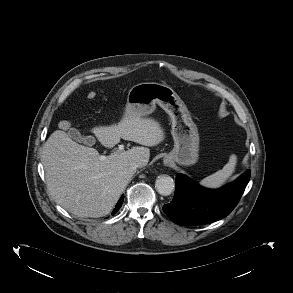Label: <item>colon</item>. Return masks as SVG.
<instances>
[{
	"instance_id": "5ec220e1",
	"label": "colon",
	"mask_w": 293,
	"mask_h": 293,
	"mask_svg": "<svg viewBox=\"0 0 293 293\" xmlns=\"http://www.w3.org/2000/svg\"><path fill=\"white\" fill-rule=\"evenodd\" d=\"M95 97H96V92H94V91H90L87 94V99H89V100H93ZM59 126L61 129L67 130L71 127V123L67 120H64V121L60 122Z\"/></svg>"
}]
</instances>
